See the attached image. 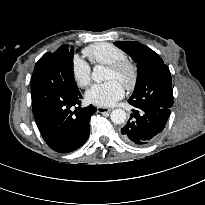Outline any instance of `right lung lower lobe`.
I'll list each match as a JSON object with an SVG mask.
<instances>
[{
  "label": "right lung lower lobe",
  "mask_w": 205,
  "mask_h": 205,
  "mask_svg": "<svg viewBox=\"0 0 205 205\" xmlns=\"http://www.w3.org/2000/svg\"><path fill=\"white\" fill-rule=\"evenodd\" d=\"M73 52L68 45L61 46L31 78L35 121L45 142L59 153L74 151L86 142L90 118L97 111L92 105L81 107L72 71Z\"/></svg>",
  "instance_id": "98d812e1"
}]
</instances>
